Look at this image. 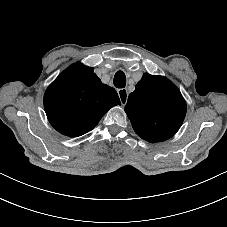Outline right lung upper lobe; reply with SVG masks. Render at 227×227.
Wrapping results in <instances>:
<instances>
[{"mask_svg":"<svg viewBox=\"0 0 227 227\" xmlns=\"http://www.w3.org/2000/svg\"><path fill=\"white\" fill-rule=\"evenodd\" d=\"M120 104L115 89L103 84L93 68L79 62L64 70L44 95L49 122L70 137L92 130L111 107Z\"/></svg>","mask_w":227,"mask_h":227,"instance_id":"cb5924a9","label":"right lung upper lobe"}]
</instances>
